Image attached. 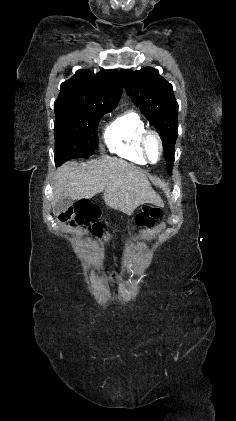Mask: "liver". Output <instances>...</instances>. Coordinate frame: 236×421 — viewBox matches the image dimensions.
<instances>
[{
    "label": "liver",
    "mask_w": 236,
    "mask_h": 421,
    "mask_svg": "<svg viewBox=\"0 0 236 421\" xmlns=\"http://www.w3.org/2000/svg\"><path fill=\"white\" fill-rule=\"evenodd\" d=\"M97 192H103L105 204L125 215H132L144 202L163 206L161 196L153 190L145 172L115 156L88 162L68 160L59 166L51 204L54 206L59 196L92 198Z\"/></svg>",
    "instance_id": "6515ba94"
}]
</instances>
